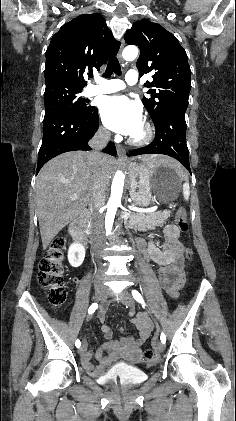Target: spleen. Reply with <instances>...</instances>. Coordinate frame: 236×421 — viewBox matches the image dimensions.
<instances>
[{"mask_svg": "<svg viewBox=\"0 0 236 421\" xmlns=\"http://www.w3.org/2000/svg\"><path fill=\"white\" fill-rule=\"evenodd\" d=\"M169 166H171V168H175L174 164H169ZM183 194H184L185 200H188L190 196V186H189L188 180H186V182H184L183 184Z\"/></svg>", "mask_w": 236, "mask_h": 421, "instance_id": "obj_1", "label": "spleen"}]
</instances>
